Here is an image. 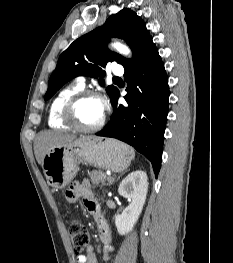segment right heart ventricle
Listing matches in <instances>:
<instances>
[{
  "instance_id": "right-heart-ventricle-1",
  "label": "right heart ventricle",
  "mask_w": 233,
  "mask_h": 263,
  "mask_svg": "<svg viewBox=\"0 0 233 263\" xmlns=\"http://www.w3.org/2000/svg\"><path fill=\"white\" fill-rule=\"evenodd\" d=\"M83 87L71 84L61 89L52 99L48 111V125L53 129H68L70 126L62 118V110L65 102Z\"/></svg>"
}]
</instances>
